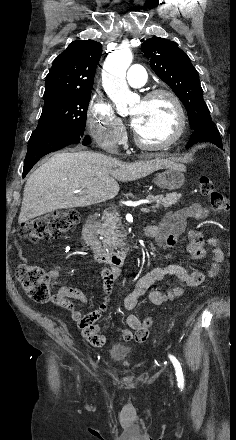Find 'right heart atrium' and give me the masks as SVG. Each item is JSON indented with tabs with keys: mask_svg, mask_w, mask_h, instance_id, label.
Wrapping results in <instances>:
<instances>
[{
	"mask_svg": "<svg viewBox=\"0 0 236 440\" xmlns=\"http://www.w3.org/2000/svg\"><path fill=\"white\" fill-rule=\"evenodd\" d=\"M87 126L99 147L109 152L118 149L124 135L122 121L111 104L99 94H95L88 105Z\"/></svg>",
	"mask_w": 236,
	"mask_h": 440,
	"instance_id": "obj_1",
	"label": "right heart atrium"
}]
</instances>
